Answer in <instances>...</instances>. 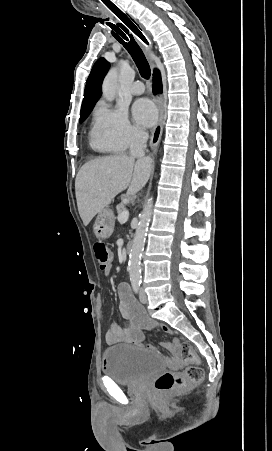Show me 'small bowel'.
<instances>
[{"mask_svg": "<svg viewBox=\"0 0 272 451\" xmlns=\"http://www.w3.org/2000/svg\"><path fill=\"white\" fill-rule=\"evenodd\" d=\"M110 271L111 262L108 267L104 269L106 275H108ZM117 296L119 298L118 309L121 317L129 323L125 327L113 323L106 334V342L110 345L126 343L141 348L144 344L140 329L149 327L151 321L145 314L141 305L133 297L131 288L128 284L120 283L118 285ZM162 329L165 332H170L166 326H163ZM179 343V339L175 337L172 342H162L160 346L163 349L168 350V348H176ZM146 347L149 350L158 351V348L154 345L149 344Z\"/></svg>", "mask_w": 272, "mask_h": 451, "instance_id": "small-bowel-1", "label": "small bowel"}]
</instances>
